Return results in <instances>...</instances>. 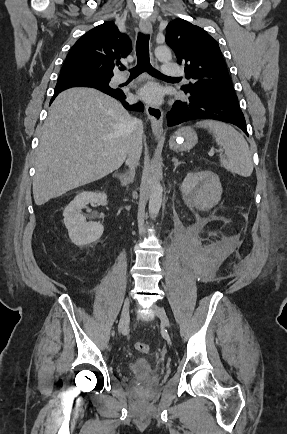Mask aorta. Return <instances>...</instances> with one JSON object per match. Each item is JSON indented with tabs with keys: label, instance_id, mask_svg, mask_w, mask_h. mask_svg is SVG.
Segmentation results:
<instances>
[{
	"label": "aorta",
	"instance_id": "aorta-1",
	"mask_svg": "<svg viewBox=\"0 0 287 434\" xmlns=\"http://www.w3.org/2000/svg\"><path fill=\"white\" fill-rule=\"evenodd\" d=\"M155 56L160 62H167L170 61L172 58L171 51L166 46H158L156 47ZM162 194H163V188L160 184V182L156 179H154L150 198H149V215L151 217H156L160 211L161 204H162Z\"/></svg>",
	"mask_w": 287,
	"mask_h": 434
}]
</instances>
